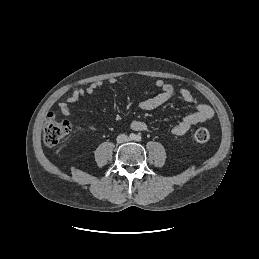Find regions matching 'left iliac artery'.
<instances>
[{"label":"left iliac artery","mask_w":259,"mask_h":259,"mask_svg":"<svg viewBox=\"0 0 259 259\" xmlns=\"http://www.w3.org/2000/svg\"><path fill=\"white\" fill-rule=\"evenodd\" d=\"M135 139H136V141H141V136L137 135Z\"/></svg>","instance_id":"44dca946"}]
</instances>
